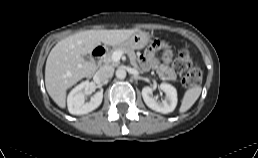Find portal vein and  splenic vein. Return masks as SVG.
<instances>
[{"label":"portal vein and splenic vein","instance_id":"1","mask_svg":"<svg viewBox=\"0 0 258 158\" xmlns=\"http://www.w3.org/2000/svg\"><path fill=\"white\" fill-rule=\"evenodd\" d=\"M122 54H123L122 51H116V52L113 53L112 59L117 62V61L120 60Z\"/></svg>","mask_w":258,"mask_h":158}]
</instances>
